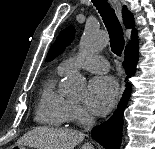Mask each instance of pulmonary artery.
Returning a JSON list of instances; mask_svg holds the SVG:
<instances>
[{"label":"pulmonary artery","instance_id":"obj_1","mask_svg":"<svg viewBox=\"0 0 155 149\" xmlns=\"http://www.w3.org/2000/svg\"><path fill=\"white\" fill-rule=\"evenodd\" d=\"M63 72L73 68L85 69L95 73H107L109 71L108 61L96 55H73L63 60L58 66Z\"/></svg>","mask_w":155,"mask_h":149}]
</instances>
